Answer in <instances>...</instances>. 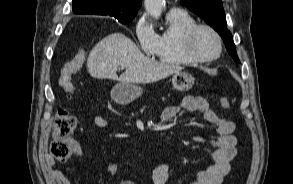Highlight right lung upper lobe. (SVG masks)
<instances>
[{
	"instance_id": "cb5924a9",
	"label": "right lung upper lobe",
	"mask_w": 293,
	"mask_h": 184,
	"mask_svg": "<svg viewBox=\"0 0 293 184\" xmlns=\"http://www.w3.org/2000/svg\"><path fill=\"white\" fill-rule=\"evenodd\" d=\"M142 0H73L75 14L108 15L116 19L134 18Z\"/></svg>"
}]
</instances>
